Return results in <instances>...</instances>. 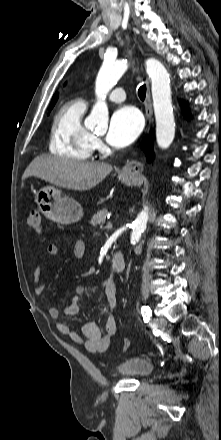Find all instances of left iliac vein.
Returning a JSON list of instances; mask_svg holds the SVG:
<instances>
[{
  "label": "left iliac vein",
  "instance_id": "4c4485c4",
  "mask_svg": "<svg viewBox=\"0 0 221 440\" xmlns=\"http://www.w3.org/2000/svg\"><path fill=\"white\" fill-rule=\"evenodd\" d=\"M155 323L157 325V327L159 328V330H164L165 326H166V320L164 317H158L155 319Z\"/></svg>",
  "mask_w": 221,
  "mask_h": 440
}]
</instances>
